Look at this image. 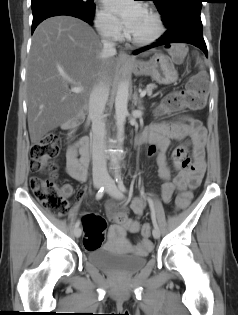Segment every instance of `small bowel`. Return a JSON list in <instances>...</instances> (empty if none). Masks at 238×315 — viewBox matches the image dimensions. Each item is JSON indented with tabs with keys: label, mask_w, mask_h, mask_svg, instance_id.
<instances>
[{
	"label": "small bowel",
	"mask_w": 238,
	"mask_h": 315,
	"mask_svg": "<svg viewBox=\"0 0 238 315\" xmlns=\"http://www.w3.org/2000/svg\"><path fill=\"white\" fill-rule=\"evenodd\" d=\"M182 138H188L189 140L193 164L189 166L190 159L186 149L183 147L177 148L173 154V163L175 168L180 171L171 176L166 154L171 147V140ZM136 141L138 145L147 144L148 155L156 157L158 176L162 181V200L166 203L170 202L176 191L188 194L191 197L189 190L200 184L206 168L204 156L206 130L201 123L195 119H188L183 121L177 128L163 122L153 123L140 132ZM90 160L91 152L88 139L81 138L77 140L69 146L67 151V174L77 181H85ZM72 192L73 188L69 184H65L60 188V194L66 198L70 197ZM145 206L144 199L134 198L130 203V209L137 218L125 219L123 223L111 225L108 230L109 237H124L128 232H137L140 229L138 219L142 216ZM151 248L152 242L145 238L137 242L133 251L137 254H144L149 252Z\"/></svg>",
	"instance_id": "obj_1"
}]
</instances>
